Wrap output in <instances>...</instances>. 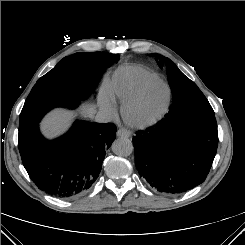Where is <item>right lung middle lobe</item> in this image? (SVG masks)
<instances>
[{"label": "right lung middle lobe", "instance_id": "right-lung-middle-lobe-1", "mask_svg": "<svg viewBox=\"0 0 245 245\" xmlns=\"http://www.w3.org/2000/svg\"><path fill=\"white\" fill-rule=\"evenodd\" d=\"M85 55L98 57L105 67L119 60L118 54L107 52H79L63 58L32 88L20 114L19 131L38 124L55 107L75 108L93 92L97 84L86 81L79 63Z\"/></svg>", "mask_w": 245, "mask_h": 245}]
</instances>
